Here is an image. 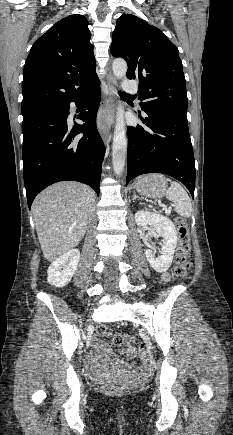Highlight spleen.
I'll list each match as a JSON object with an SVG mask.
<instances>
[{
	"label": "spleen",
	"instance_id": "3e777b00",
	"mask_svg": "<svg viewBox=\"0 0 233 435\" xmlns=\"http://www.w3.org/2000/svg\"><path fill=\"white\" fill-rule=\"evenodd\" d=\"M166 197L175 204V211L182 217L191 216V200L184 188L177 182H171L170 188L166 192Z\"/></svg>",
	"mask_w": 233,
	"mask_h": 435
}]
</instances>
